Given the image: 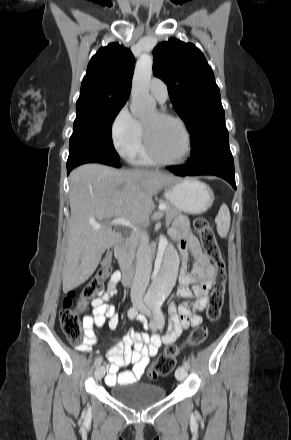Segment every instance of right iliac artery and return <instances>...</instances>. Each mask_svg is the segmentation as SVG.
Masks as SVG:
<instances>
[{
    "label": "right iliac artery",
    "instance_id": "obj_1",
    "mask_svg": "<svg viewBox=\"0 0 291 440\" xmlns=\"http://www.w3.org/2000/svg\"><path fill=\"white\" fill-rule=\"evenodd\" d=\"M136 315H137V309L135 307H131L128 310L129 319H134L136 317ZM101 362H102V357L99 356L98 358H96V360L94 362L95 367L99 366L101 364Z\"/></svg>",
    "mask_w": 291,
    "mask_h": 440
}]
</instances>
